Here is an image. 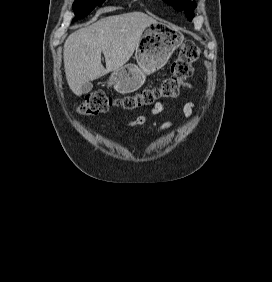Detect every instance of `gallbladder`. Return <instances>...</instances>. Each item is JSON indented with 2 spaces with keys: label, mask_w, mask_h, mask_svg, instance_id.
<instances>
[{
  "label": "gallbladder",
  "mask_w": 272,
  "mask_h": 282,
  "mask_svg": "<svg viewBox=\"0 0 272 282\" xmlns=\"http://www.w3.org/2000/svg\"><path fill=\"white\" fill-rule=\"evenodd\" d=\"M92 87L93 86H92V84L90 82L83 84V86H82V93L83 94L89 93L92 90Z\"/></svg>",
  "instance_id": "1"
}]
</instances>
